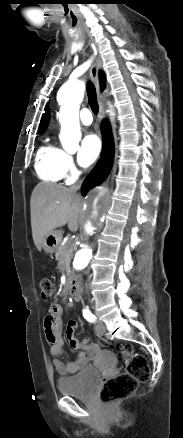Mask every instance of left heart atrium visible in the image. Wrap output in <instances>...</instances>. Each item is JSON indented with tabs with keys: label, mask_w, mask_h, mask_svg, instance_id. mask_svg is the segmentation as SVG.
Here are the masks:
<instances>
[{
	"label": "left heart atrium",
	"mask_w": 183,
	"mask_h": 438,
	"mask_svg": "<svg viewBox=\"0 0 183 438\" xmlns=\"http://www.w3.org/2000/svg\"><path fill=\"white\" fill-rule=\"evenodd\" d=\"M101 150V142L96 134L90 133L83 139L80 149V162L89 165L94 162Z\"/></svg>",
	"instance_id": "left-heart-atrium-1"
}]
</instances>
